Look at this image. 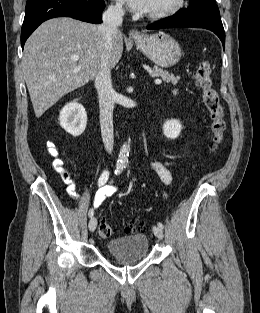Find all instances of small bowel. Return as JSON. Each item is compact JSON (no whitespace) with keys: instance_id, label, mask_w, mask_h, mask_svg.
Instances as JSON below:
<instances>
[{"instance_id":"1","label":"small bowel","mask_w":260,"mask_h":313,"mask_svg":"<svg viewBox=\"0 0 260 313\" xmlns=\"http://www.w3.org/2000/svg\"><path fill=\"white\" fill-rule=\"evenodd\" d=\"M49 152L53 157H55V165L59 169L62 181L67 185L69 195L72 198H80L81 195L76 191V185L70 173L62 168L63 161L58 157L59 153L57 149L51 145L49 147ZM168 165L169 163L159 160L152 163V169L157 174L161 182L166 185L170 184L173 180V176ZM109 175V171L104 170L99 177L98 186L100 189L98 190L94 199V207L96 208L100 207L108 197L114 195L117 192L116 187L108 185Z\"/></svg>"}]
</instances>
